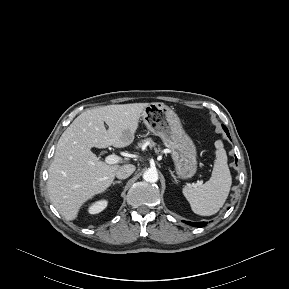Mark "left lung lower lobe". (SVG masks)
I'll return each instance as SVG.
<instances>
[{
    "instance_id": "obj_1",
    "label": "left lung lower lobe",
    "mask_w": 289,
    "mask_h": 289,
    "mask_svg": "<svg viewBox=\"0 0 289 289\" xmlns=\"http://www.w3.org/2000/svg\"><path fill=\"white\" fill-rule=\"evenodd\" d=\"M225 132L227 133L228 137L230 138L229 132H228L227 129H225ZM183 222H185L188 225L195 226V227H203V226L206 225L205 222H194V223L193 222H189V221H183Z\"/></svg>"
}]
</instances>
